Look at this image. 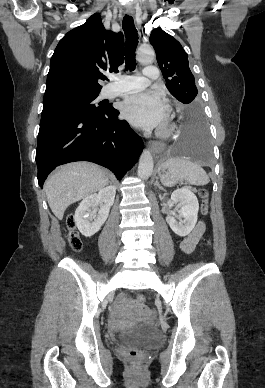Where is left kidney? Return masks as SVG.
<instances>
[{"label": "left kidney", "mask_w": 265, "mask_h": 388, "mask_svg": "<svg viewBox=\"0 0 265 388\" xmlns=\"http://www.w3.org/2000/svg\"><path fill=\"white\" fill-rule=\"evenodd\" d=\"M171 200L172 204H180V210H176L178 216L176 214H168L166 222L177 236H188L198 220V200L189 188L175 190ZM181 218H184V220H181Z\"/></svg>", "instance_id": "1"}]
</instances>
